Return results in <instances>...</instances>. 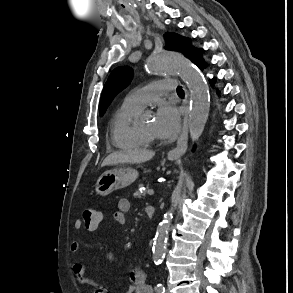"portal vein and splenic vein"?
<instances>
[{
    "label": "portal vein and splenic vein",
    "mask_w": 293,
    "mask_h": 293,
    "mask_svg": "<svg viewBox=\"0 0 293 293\" xmlns=\"http://www.w3.org/2000/svg\"><path fill=\"white\" fill-rule=\"evenodd\" d=\"M147 193H148L149 196H152L154 194V190L153 189H149L147 191Z\"/></svg>",
    "instance_id": "1"
}]
</instances>
